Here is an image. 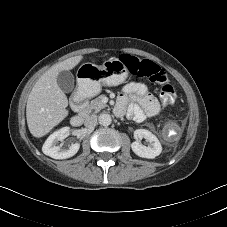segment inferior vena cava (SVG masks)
<instances>
[{
    "label": "inferior vena cava",
    "mask_w": 227,
    "mask_h": 227,
    "mask_svg": "<svg viewBox=\"0 0 227 227\" xmlns=\"http://www.w3.org/2000/svg\"><path fill=\"white\" fill-rule=\"evenodd\" d=\"M97 124V115L92 114L86 117L84 125L88 128H94Z\"/></svg>",
    "instance_id": "obj_1"
}]
</instances>
